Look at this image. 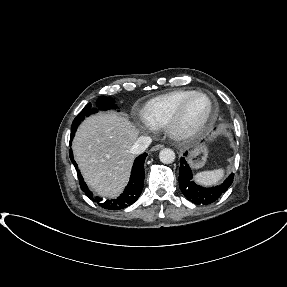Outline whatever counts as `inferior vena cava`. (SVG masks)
<instances>
[{
	"mask_svg": "<svg viewBox=\"0 0 287 287\" xmlns=\"http://www.w3.org/2000/svg\"><path fill=\"white\" fill-rule=\"evenodd\" d=\"M152 139L149 136H140L132 145L130 151L133 154L143 153L151 144Z\"/></svg>",
	"mask_w": 287,
	"mask_h": 287,
	"instance_id": "inferior-vena-cava-1",
	"label": "inferior vena cava"
}]
</instances>
